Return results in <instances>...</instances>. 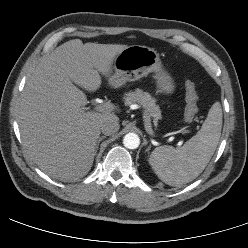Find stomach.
<instances>
[{
	"label": "stomach",
	"instance_id": "obj_1",
	"mask_svg": "<svg viewBox=\"0 0 248 248\" xmlns=\"http://www.w3.org/2000/svg\"><path fill=\"white\" fill-rule=\"evenodd\" d=\"M114 71L109 79L112 87H120L154 72L159 92L170 94L174 91L173 80L162 68L159 54L153 48L141 45L126 47L115 57Z\"/></svg>",
	"mask_w": 248,
	"mask_h": 248
}]
</instances>
